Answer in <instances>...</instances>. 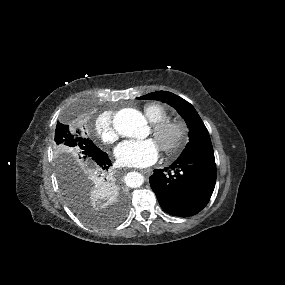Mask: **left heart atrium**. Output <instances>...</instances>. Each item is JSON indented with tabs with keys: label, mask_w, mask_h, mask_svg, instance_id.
Here are the masks:
<instances>
[{
	"label": "left heart atrium",
	"mask_w": 285,
	"mask_h": 285,
	"mask_svg": "<svg viewBox=\"0 0 285 285\" xmlns=\"http://www.w3.org/2000/svg\"><path fill=\"white\" fill-rule=\"evenodd\" d=\"M160 148L153 139L126 140L115 149L117 161L128 167H147L155 163L159 157Z\"/></svg>",
	"instance_id": "obj_1"
}]
</instances>
